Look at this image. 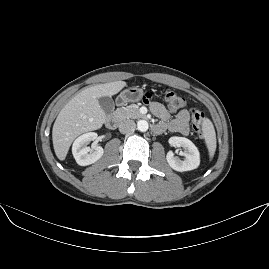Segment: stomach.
I'll return each mask as SVG.
<instances>
[{
    "mask_svg": "<svg viewBox=\"0 0 269 269\" xmlns=\"http://www.w3.org/2000/svg\"><path fill=\"white\" fill-rule=\"evenodd\" d=\"M142 96H143V89L141 88L132 87L129 89H125L117 97V104L119 106H122L129 102H137L141 100Z\"/></svg>",
    "mask_w": 269,
    "mask_h": 269,
    "instance_id": "0dacf381",
    "label": "stomach"
}]
</instances>
